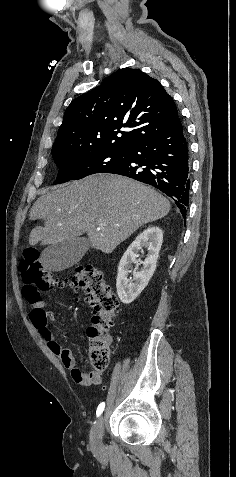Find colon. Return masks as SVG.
Returning a JSON list of instances; mask_svg holds the SVG:
<instances>
[{
    "label": "colon",
    "instance_id": "5ec220e1",
    "mask_svg": "<svg viewBox=\"0 0 236 477\" xmlns=\"http://www.w3.org/2000/svg\"><path fill=\"white\" fill-rule=\"evenodd\" d=\"M24 284V297L28 302L39 299L40 292L70 285L83 291L94 309L93 327L89 330L88 359L96 372L107 369L110 350L105 334L114 326L119 311V300L108 286L100 269L79 266L69 279L55 277L43 268L40 253L29 249L19 264Z\"/></svg>",
    "mask_w": 236,
    "mask_h": 477
}]
</instances>
